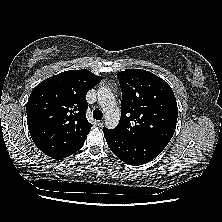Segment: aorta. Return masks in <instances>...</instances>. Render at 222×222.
<instances>
[{
	"label": "aorta",
	"instance_id": "1",
	"mask_svg": "<svg viewBox=\"0 0 222 222\" xmlns=\"http://www.w3.org/2000/svg\"><path fill=\"white\" fill-rule=\"evenodd\" d=\"M98 102L105 115V125L109 129H114L120 119V111L116 104L112 91L108 88L101 87L98 89Z\"/></svg>",
	"mask_w": 222,
	"mask_h": 222
}]
</instances>
